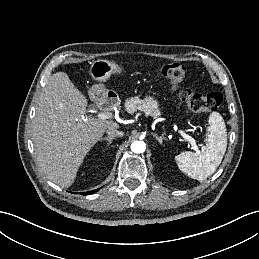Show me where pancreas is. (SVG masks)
I'll return each instance as SVG.
<instances>
[{
    "label": "pancreas",
    "instance_id": "obj_1",
    "mask_svg": "<svg viewBox=\"0 0 259 259\" xmlns=\"http://www.w3.org/2000/svg\"><path fill=\"white\" fill-rule=\"evenodd\" d=\"M125 106L127 112L130 114L141 111L145 115H150L154 118L160 115L157 101L152 97H146L144 100H141L139 97L130 98L126 101Z\"/></svg>",
    "mask_w": 259,
    "mask_h": 259
}]
</instances>
